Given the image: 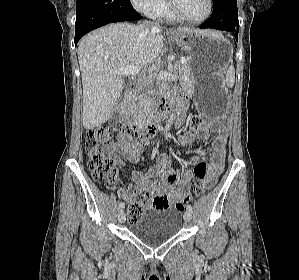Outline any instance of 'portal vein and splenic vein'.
Returning a JSON list of instances; mask_svg holds the SVG:
<instances>
[{
	"instance_id": "portal-vein-and-splenic-vein-1",
	"label": "portal vein and splenic vein",
	"mask_w": 299,
	"mask_h": 280,
	"mask_svg": "<svg viewBox=\"0 0 299 280\" xmlns=\"http://www.w3.org/2000/svg\"><path fill=\"white\" fill-rule=\"evenodd\" d=\"M181 63H186V59L182 58ZM110 72L115 75H137L140 72V68L136 66H128L122 69L111 70Z\"/></svg>"
}]
</instances>
